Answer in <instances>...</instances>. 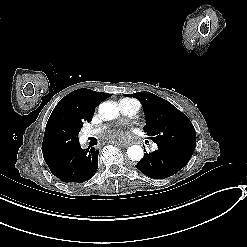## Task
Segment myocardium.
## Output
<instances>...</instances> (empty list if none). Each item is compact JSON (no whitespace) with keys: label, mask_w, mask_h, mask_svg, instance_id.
<instances>
[{"label":"myocardium","mask_w":247,"mask_h":247,"mask_svg":"<svg viewBox=\"0 0 247 247\" xmlns=\"http://www.w3.org/2000/svg\"><path fill=\"white\" fill-rule=\"evenodd\" d=\"M133 100V99H132ZM128 118H130L134 123H135V121L132 119V117H129V116H127Z\"/></svg>","instance_id":"myocardium-1"}]
</instances>
